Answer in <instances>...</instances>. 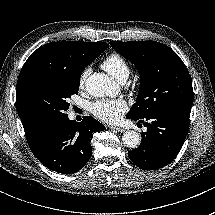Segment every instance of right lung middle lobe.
<instances>
[{
    "label": "right lung middle lobe",
    "instance_id": "obj_1",
    "mask_svg": "<svg viewBox=\"0 0 215 215\" xmlns=\"http://www.w3.org/2000/svg\"><path fill=\"white\" fill-rule=\"evenodd\" d=\"M80 76H63L53 82L32 86L25 94V109L32 121L40 126L63 119L70 104L67 99L78 94Z\"/></svg>",
    "mask_w": 215,
    "mask_h": 215
}]
</instances>
